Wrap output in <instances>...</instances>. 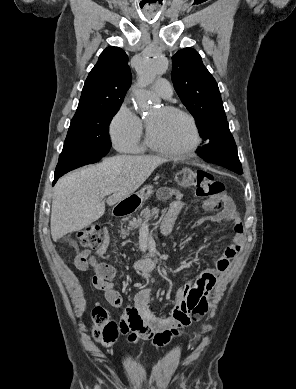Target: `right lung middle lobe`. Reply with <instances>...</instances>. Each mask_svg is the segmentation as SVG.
I'll use <instances>...</instances> for the list:
<instances>
[{
    "mask_svg": "<svg viewBox=\"0 0 296 389\" xmlns=\"http://www.w3.org/2000/svg\"><path fill=\"white\" fill-rule=\"evenodd\" d=\"M120 106L95 110L71 121L56 170L98 162L110 150L109 124Z\"/></svg>",
    "mask_w": 296,
    "mask_h": 389,
    "instance_id": "1",
    "label": "right lung middle lobe"
}]
</instances>
